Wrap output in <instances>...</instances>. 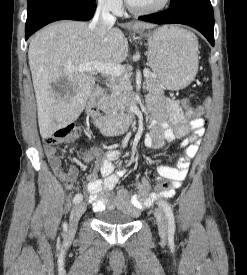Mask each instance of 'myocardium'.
Returning a JSON list of instances; mask_svg holds the SVG:
<instances>
[{"instance_id": "obj_1", "label": "myocardium", "mask_w": 247, "mask_h": 275, "mask_svg": "<svg viewBox=\"0 0 247 275\" xmlns=\"http://www.w3.org/2000/svg\"><path fill=\"white\" fill-rule=\"evenodd\" d=\"M170 3V0H163L159 5L151 7V8H136L134 7L129 0H126L127 8L130 12L136 15H150L154 13H158L164 10Z\"/></svg>"}]
</instances>
